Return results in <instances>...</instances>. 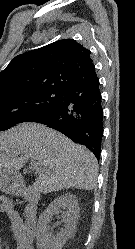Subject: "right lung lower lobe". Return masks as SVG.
<instances>
[{"mask_svg":"<svg viewBox=\"0 0 135 249\" xmlns=\"http://www.w3.org/2000/svg\"><path fill=\"white\" fill-rule=\"evenodd\" d=\"M28 121L42 123L60 131L73 141L85 145L99 160L103 138L99 78L71 86L54 104Z\"/></svg>","mask_w":135,"mask_h":249,"instance_id":"98d812e1","label":"right lung lower lobe"}]
</instances>
